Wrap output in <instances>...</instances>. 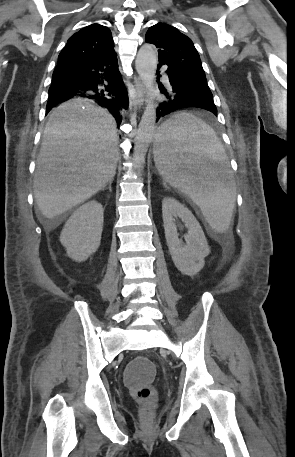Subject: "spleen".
Listing matches in <instances>:
<instances>
[{"mask_svg": "<svg viewBox=\"0 0 295 457\" xmlns=\"http://www.w3.org/2000/svg\"><path fill=\"white\" fill-rule=\"evenodd\" d=\"M154 161L163 179L200 207L214 232L229 228L236 183L213 129L191 113L174 115L158 130Z\"/></svg>", "mask_w": 295, "mask_h": 457, "instance_id": "spleen-1", "label": "spleen"}]
</instances>
